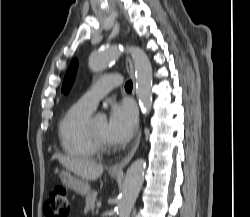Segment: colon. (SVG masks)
Instances as JSON below:
<instances>
[{
    "label": "colon",
    "instance_id": "5ec220e1",
    "mask_svg": "<svg viewBox=\"0 0 250 217\" xmlns=\"http://www.w3.org/2000/svg\"><path fill=\"white\" fill-rule=\"evenodd\" d=\"M71 210L67 191L63 187L53 188L44 204L46 217H69Z\"/></svg>",
    "mask_w": 250,
    "mask_h": 217
}]
</instances>
